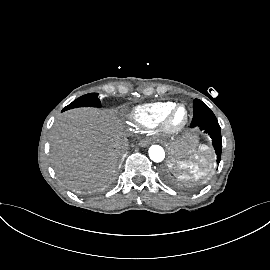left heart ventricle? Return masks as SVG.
Listing matches in <instances>:
<instances>
[{
  "mask_svg": "<svg viewBox=\"0 0 270 270\" xmlns=\"http://www.w3.org/2000/svg\"><path fill=\"white\" fill-rule=\"evenodd\" d=\"M185 112L183 109H179L174 116V123L179 124L183 121Z\"/></svg>",
  "mask_w": 270,
  "mask_h": 270,
  "instance_id": "obj_1",
  "label": "left heart ventricle"
}]
</instances>
